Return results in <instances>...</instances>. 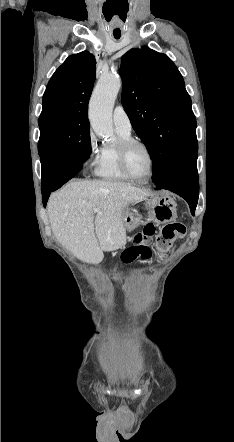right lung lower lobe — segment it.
Listing matches in <instances>:
<instances>
[{
  "mask_svg": "<svg viewBox=\"0 0 234 442\" xmlns=\"http://www.w3.org/2000/svg\"><path fill=\"white\" fill-rule=\"evenodd\" d=\"M41 166L42 199L46 207L50 193L74 177L82 169L83 162L65 152L42 157Z\"/></svg>",
  "mask_w": 234,
  "mask_h": 442,
  "instance_id": "98d812e1",
  "label": "right lung lower lobe"
}]
</instances>
